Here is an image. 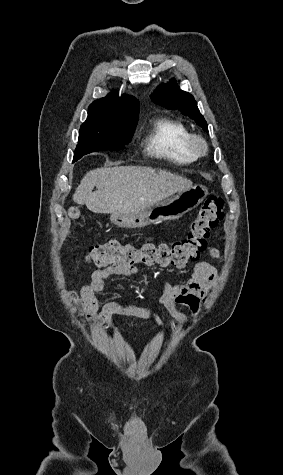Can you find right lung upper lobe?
Here are the masks:
<instances>
[{
	"label": "right lung upper lobe",
	"instance_id": "obj_1",
	"mask_svg": "<svg viewBox=\"0 0 283 475\" xmlns=\"http://www.w3.org/2000/svg\"><path fill=\"white\" fill-rule=\"evenodd\" d=\"M93 107H119V106H139V101L131 96L119 97L117 93H110L106 97L94 101Z\"/></svg>",
	"mask_w": 283,
	"mask_h": 475
}]
</instances>
